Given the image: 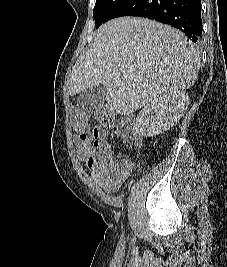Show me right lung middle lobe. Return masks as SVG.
Masks as SVG:
<instances>
[{
    "instance_id": "right-lung-middle-lobe-1",
    "label": "right lung middle lobe",
    "mask_w": 227,
    "mask_h": 267,
    "mask_svg": "<svg viewBox=\"0 0 227 267\" xmlns=\"http://www.w3.org/2000/svg\"><path fill=\"white\" fill-rule=\"evenodd\" d=\"M128 0H96L93 10V17L95 19L96 28L106 21L112 19L115 13L127 2Z\"/></svg>"
}]
</instances>
